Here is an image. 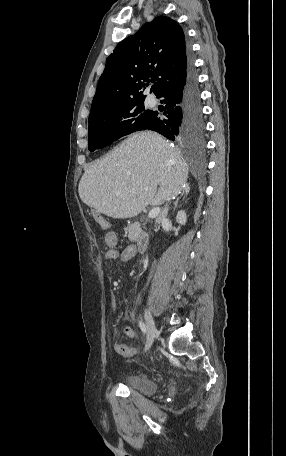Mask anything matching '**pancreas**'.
I'll list each match as a JSON object with an SVG mask.
<instances>
[{
  "mask_svg": "<svg viewBox=\"0 0 286 456\" xmlns=\"http://www.w3.org/2000/svg\"><path fill=\"white\" fill-rule=\"evenodd\" d=\"M126 230L128 231V239L131 242H138L142 235V230L139 223L129 225Z\"/></svg>",
  "mask_w": 286,
  "mask_h": 456,
  "instance_id": "1",
  "label": "pancreas"
}]
</instances>
